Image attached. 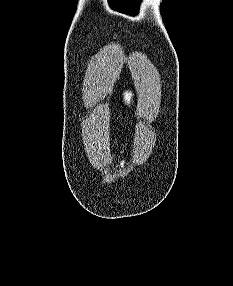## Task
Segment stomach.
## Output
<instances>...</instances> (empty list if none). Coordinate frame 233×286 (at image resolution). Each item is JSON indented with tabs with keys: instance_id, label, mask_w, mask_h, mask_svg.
Returning a JSON list of instances; mask_svg holds the SVG:
<instances>
[{
	"instance_id": "stomach-1",
	"label": "stomach",
	"mask_w": 233,
	"mask_h": 286,
	"mask_svg": "<svg viewBox=\"0 0 233 286\" xmlns=\"http://www.w3.org/2000/svg\"><path fill=\"white\" fill-rule=\"evenodd\" d=\"M133 96L134 95L132 91L130 90L124 91L122 95L124 104L130 107L133 104Z\"/></svg>"
}]
</instances>
